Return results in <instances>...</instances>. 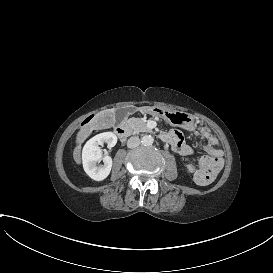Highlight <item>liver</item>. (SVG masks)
Masks as SVG:
<instances>
[{
    "label": "liver",
    "mask_w": 273,
    "mask_h": 273,
    "mask_svg": "<svg viewBox=\"0 0 273 273\" xmlns=\"http://www.w3.org/2000/svg\"><path fill=\"white\" fill-rule=\"evenodd\" d=\"M117 108L104 109L94 114L93 118L82 125L75 136L72 157L76 165L82 164L81 151L83 143L95 130H106L116 125Z\"/></svg>",
    "instance_id": "1"
}]
</instances>
